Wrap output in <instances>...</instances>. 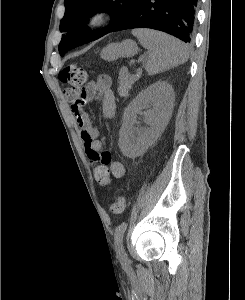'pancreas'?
Listing matches in <instances>:
<instances>
[{
  "label": "pancreas",
  "mask_w": 245,
  "mask_h": 300,
  "mask_svg": "<svg viewBox=\"0 0 245 300\" xmlns=\"http://www.w3.org/2000/svg\"><path fill=\"white\" fill-rule=\"evenodd\" d=\"M135 77L131 76L126 69H122L119 73V87L118 93L120 96L128 95L131 85L135 81Z\"/></svg>",
  "instance_id": "obj_1"
}]
</instances>
